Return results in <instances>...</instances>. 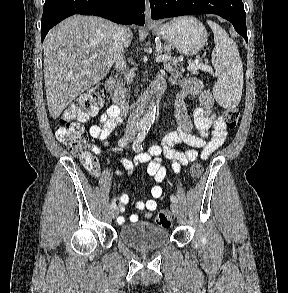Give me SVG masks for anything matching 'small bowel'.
<instances>
[{
	"mask_svg": "<svg viewBox=\"0 0 288 293\" xmlns=\"http://www.w3.org/2000/svg\"><path fill=\"white\" fill-rule=\"evenodd\" d=\"M181 90L175 100V117L178 128L169 132L163 138L160 145L152 146L147 153L138 154L134 159L120 157V163L127 172H132L140 164L146 165V170L155 184L151 188V199L137 201L135 207L143 211L145 217H150L151 213L157 209V199L163 194L161 183L167 175L166 168L161 164V156L169 159L173 163V170L179 173L182 166H187L197 158L208 159L226 140L227 127L223 120L216 116L214 112V98L211 92L206 89L203 82L194 77H187L178 81ZM197 98L200 106L195 108L191 114L187 110V100ZM122 122V113L112 105L100 116L99 124L92 125L89 129L91 137L108 144L110 134L115 131ZM197 131V134L194 133ZM184 144L189 148L180 151L176 145ZM200 150V151H199ZM93 151L97 154L100 149L96 146ZM121 171L118 174L121 175ZM120 211L124 212L125 206L129 202L127 194H121L118 198ZM139 220V215L134 213L129 217V221L135 223ZM119 224L125 223V218L119 216Z\"/></svg>",
	"mask_w": 288,
	"mask_h": 293,
	"instance_id": "obj_1",
	"label": "small bowel"
}]
</instances>
